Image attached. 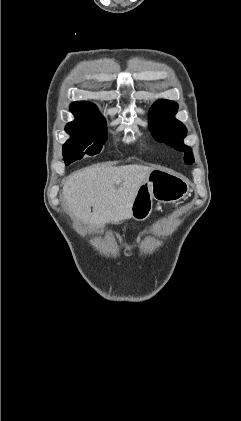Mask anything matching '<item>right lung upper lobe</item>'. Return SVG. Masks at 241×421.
<instances>
[{"instance_id":"1","label":"right lung upper lobe","mask_w":241,"mask_h":421,"mask_svg":"<svg viewBox=\"0 0 241 421\" xmlns=\"http://www.w3.org/2000/svg\"><path fill=\"white\" fill-rule=\"evenodd\" d=\"M70 111L76 116L74 121L68 123L71 125H89L104 119L97 107L93 103L86 101L72 103Z\"/></svg>"}]
</instances>
